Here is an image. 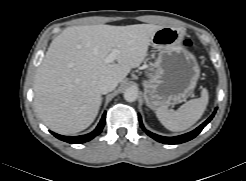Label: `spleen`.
<instances>
[{
	"label": "spleen",
	"instance_id": "obj_1",
	"mask_svg": "<svg viewBox=\"0 0 246 181\" xmlns=\"http://www.w3.org/2000/svg\"><path fill=\"white\" fill-rule=\"evenodd\" d=\"M207 89L201 91V97L187 101L177 110L159 107L156 116L162 125L170 131H184L194 125L203 115L208 104Z\"/></svg>",
	"mask_w": 246,
	"mask_h": 181
}]
</instances>
